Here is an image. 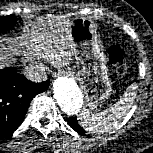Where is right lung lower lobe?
<instances>
[{
	"label": "right lung lower lobe",
	"instance_id": "98d812e1",
	"mask_svg": "<svg viewBox=\"0 0 153 153\" xmlns=\"http://www.w3.org/2000/svg\"><path fill=\"white\" fill-rule=\"evenodd\" d=\"M50 82L34 83L15 68L0 70V138L11 135L23 122L31 100Z\"/></svg>",
	"mask_w": 153,
	"mask_h": 153
}]
</instances>
